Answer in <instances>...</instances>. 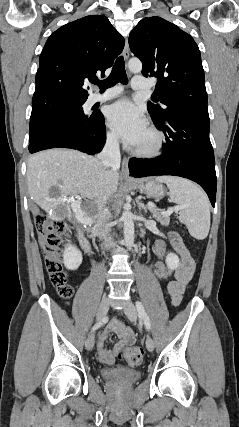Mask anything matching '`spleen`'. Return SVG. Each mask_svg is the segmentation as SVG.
<instances>
[{"mask_svg":"<svg viewBox=\"0 0 239 427\" xmlns=\"http://www.w3.org/2000/svg\"><path fill=\"white\" fill-rule=\"evenodd\" d=\"M156 180L167 185L171 200L180 207L179 221L187 226L191 236L205 239L210 229V205L205 192L180 177L159 176Z\"/></svg>","mask_w":239,"mask_h":427,"instance_id":"1","label":"spleen"}]
</instances>
